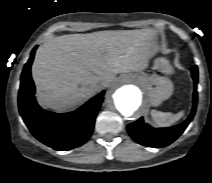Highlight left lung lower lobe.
<instances>
[{
    "instance_id": "obj_1",
    "label": "left lung lower lobe",
    "mask_w": 212,
    "mask_h": 183,
    "mask_svg": "<svg viewBox=\"0 0 212 183\" xmlns=\"http://www.w3.org/2000/svg\"><path fill=\"white\" fill-rule=\"evenodd\" d=\"M191 73L194 80V94L193 108L189 117L181 124L168 128H152L151 126L145 124L143 118L141 117L137 121L130 123L127 126L128 133L137 143L154 148L165 147L174 142L183 133L193 119L197 105V66L192 67Z\"/></svg>"
}]
</instances>
